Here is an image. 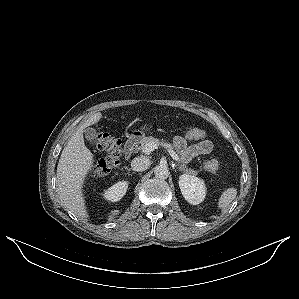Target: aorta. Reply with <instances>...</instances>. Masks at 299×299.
<instances>
[{"label":"aorta","mask_w":299,"mask_h":299,"mask_svg":"<svg viewBox=\"0 0 299 299\" xmlns=\"http://www.w3.org/2000/svg\"><path fill=\"white\" fill-rule=\"evenodd\" d=\"M154 174H155L156 178H159L162 180L167 179L169 176L168 167L166 165L160 164L155 167Z\"/></svg>","instance_id":"aorta-1"}]
</instances>
